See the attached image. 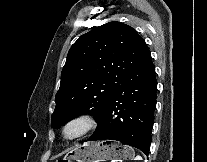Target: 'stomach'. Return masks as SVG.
Wrapping results in <instances>:
<instances>
[{"label":"stomach","mask_w":207,"mask_h":162,"mask_svg":"<svg viewBox=\"0 0 207 162\" xmlns=\"http://www.w3.org/2000/svg\"><path fill=\"white\" fill-rule=\"evenodd\" d=\"M134 155L133 149L117 142L100 141L88 142L75 148L64 160L77 162H105L108 160L130 159Z\"/></svg>","instance_id":"1"}]
</instances>
